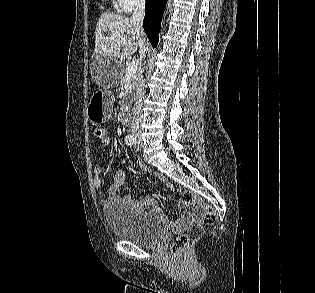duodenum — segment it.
Listing matches in <instances>:
<instances>
[{
  "mask_svg": "<svg viewBox=\"0 0 315 293\" xmlns=\"http://www.w3.org/2000/svg\"><path fill=\"white\" fill-rule=\"evenodd\" d=\"M130 117H131L130 107L125 104L121 109V121L123 123H128L130 121Z\"/></svg>",
  "mask_w": 315,
  "mask_h": 293,
  "instance_id": "obj_1",
  "label": "duodenum"
}]
</instances>
